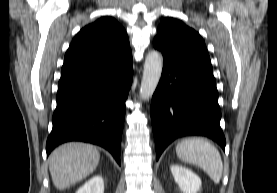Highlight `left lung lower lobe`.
Here are the masks:
<instances>
[{"instance_id":"1","label":"left lung lower lobe","mask_w":277,"mask_h":193,"mask_svg":"<svg viewBox=\"0 0 277 193\" xmlns=\"http://www.w3.org/2000/svg\"><path fill=\"white\" fill-rule=\"evenodd\" d=\"M162 54L164 68L150 110L156 159L173 140L183 136H206L225 149L212 66Z\"/></svg>"}]
</instances>
